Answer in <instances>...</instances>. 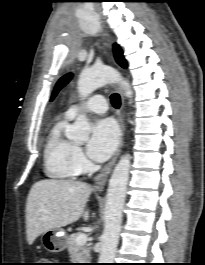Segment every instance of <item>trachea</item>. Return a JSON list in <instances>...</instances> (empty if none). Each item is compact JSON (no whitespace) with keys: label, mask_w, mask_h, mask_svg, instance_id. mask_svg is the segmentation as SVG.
<instances>
[{"label":"trachea","mask_w":205,"mask_h":265,"mask_svg":"<svg viewBox=\"0 0 205 265\" xmlns=\"http://www.w3.org/2000/svg\"><path fill=\"white\" fill-rule=\"evenodd\" d=\"M110 99H111L112 105L115 108H119L120 107L121 99H120L119 94H117V93L112 94L111 97H110Z\"/></svg>","instance_id":"obj_1"}]
</instances>
